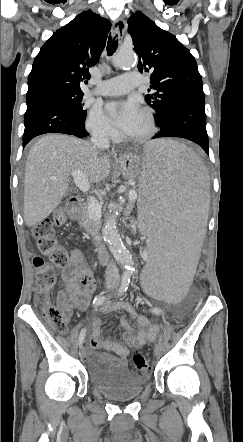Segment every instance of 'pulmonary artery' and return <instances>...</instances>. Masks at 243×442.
I'll return each mask as SVG.
<instances>
[{
	"label": "pulmonary artery",
	"instance_id": "e3ab8cb5",
	"mask_svg": "<svg viewBox=\"0 0 243 442\" xmlns=\"http://www.w3.org/2000/svg\"><path fill=\"white\" fill-rule=\"evenodd\" d=\"M142 83L141 75L138 72H127L120 76L97 83L96 94L99 95H121L138 87Z\"/></svg>",
	"mask_w": 243,
	"mask_h": 442
}]
</instances>
